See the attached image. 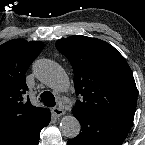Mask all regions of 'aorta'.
<instances>
[{
  "label": "aorta",
  "mask_w": 145,
  "mask_h": 145,
  "mask_svg": "<svg viewBox=\"0 0 145 145\" xmlns=\"http://www.w3.org/2000/svg\"><path fill=\"white\" fill-rule=\"evenodd\" d=\"M36 77L56 92H64L69 81L62 68L55 62L47 59L38 60L34 64ZM80 123L73 115H66L60 121L61 133L67 138H75L80 133Z\"/></svg>",
  "instance_id": "762f6f07"
}]
</instances>
